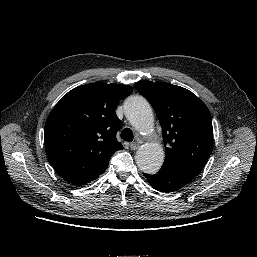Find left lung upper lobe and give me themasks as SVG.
<instances>
[{
    "mask_svg": "<svg viewBox=\"0 0 257 257\" xmlns=\"http://www.w3.org/2000/svg\"><path fill=\"white\" fill-rule=\"evenodd\" d=\"M136 89L153 106L162 127L163 165L197 175L213 149V127L206 105L189 90L162 82L139 81Z\"/></svg>",
    "mask_w": 257,
    "mask_h": 257,
    "instance_id": "left-lung-upper-lobe-1",
    "label": "left lung upper lobe"
}]
</instances>
